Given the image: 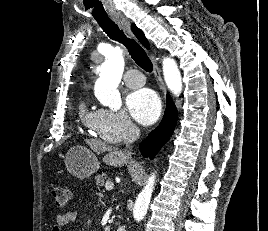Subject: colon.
Here are the masks:
<instances>
[{
  "instance_id": "obj_1",
  "label": "colon",
  "mask_w": 268,
  "mask_h": 231,
  "mask_svg": "<svg viewBox=\"0 0 268 231\" xmlns=\"http://www.w3.org/2000/svg\"><path fill=\"white\" fill-rule=\"evenodd\" d=\"M51 193L56 205L60 208H65L70 199V192L60 185H54L51 188Z\"/></svg>"
}]
</instances>
